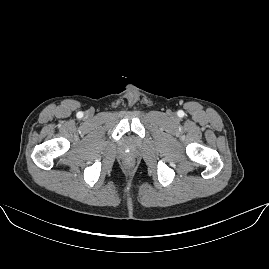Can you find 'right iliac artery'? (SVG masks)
<instances>
[{
    "instance_id": "82829eb1",
    "label": "right iliac artery",
    "mask_w": 269,
    "mask_h": 269,
    "mask_svg": "<svg viewBox=\"0 0 269 269\" xmlns=\"http://www.w3.org/2000/svg\"><path fill=\"white\" fill-rule=\"evenodd\" d=\"M79 114H81V117L83 116V114H82V113H79Z\"/></svg>"
}]
</instances>
